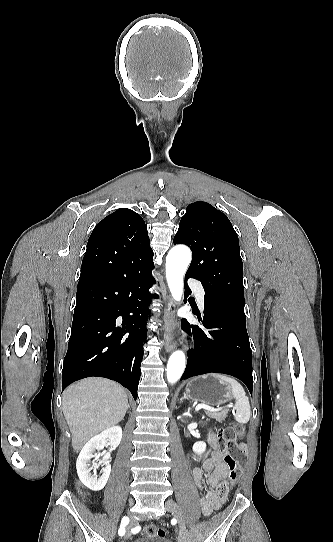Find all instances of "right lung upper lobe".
Returning a JSON list of instances; mask_svg holds the SVG:
<instances>
[{
	"label": "right lung upper lobe",
	"mask_w": 333,
	"mask_h": 542,
	"mask_svg": "<svg viewBox=\"0 0 333 542\" xmlns=\"http://www.w3.org/2000/svg\"><path fill=\"white\" fill-rule=\"evenodd\" d=\"M126 247L151 249L147 227L141 216L131 209L120 208L97 224L88 240L87 250L117 252ZM98 277L111 279L115 275L81 270L79 280Z\"/></svg>",
	"instance_id": "1"
}]
</instances>
